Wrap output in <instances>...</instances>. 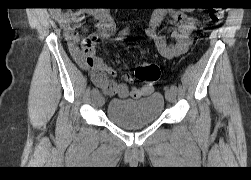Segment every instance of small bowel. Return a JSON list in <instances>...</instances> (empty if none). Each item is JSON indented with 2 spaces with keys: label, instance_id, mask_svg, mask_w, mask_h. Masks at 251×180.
I'll list each match as a JSON object with an SVG mask.
<instances>
[{
  "label": "small bowel",
  "instance_id": "small-bowel-1",
  "mask_svg": "<svg viewBox=\"0 0 251 180\" xmlns=\"http://www.w3.org/2000/svg\"><path fill=\"white\" fill-rule=\"evenodd\" d=\"M85 15L94 20V30L84 38L77 34L73 23L80 21ZM171 16L172 22L177 26L170 40L158 32L162 20ZM57 21L62 28L69 51L73 59L84 69L91 73L93 84L109 96H117L121 99L132 97L139 99L150 95L154 88L150 85L131 86V78L123 77V82L115 80L116 70L107 65L95 54L96 46L105 38L113 35L115 25L110 14L104 9H87L70 13H59ZM198 19L189 16L182 11L159 8L154 11L147 30L150 38L155 42L159 53L168 59L178 57L185 53L191 43V34L196 29Z\"/></svg>",
  "mask_w": 251,
  "mask_h": 180
}]
</instances>
